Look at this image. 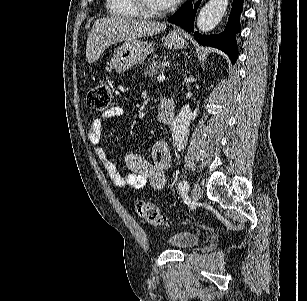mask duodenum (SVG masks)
Instances as JSON below:
<instances>
[{
    "instance_id": "duodenum-1",
    "label": "duodenum",
    "mask_w": 307,
    "mask_h": 301,
    "mask_svg": "<svg viewBox=\"0 0 307 301\" xmlns=\"http://www.w3.org/2000/svg\"><path fill=\"white\" fill-rule=\"evenodd\" d=\"M175 117V104L174 101L170 98H163L160 102L159 121L168 124L173 121Z\"/></svg>"
}]
</instances>
